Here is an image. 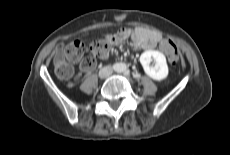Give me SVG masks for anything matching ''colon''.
Returning <instances> with one entry per match:
<instances>
[{"mask_svg":"<svg viewBox=\"0 0 230 155\" xmlns=\"http://www.w3.org/2000/svg\"><path fill=\"white\" fill-rule=\"evenodd\" d=\"M157 48L167 55L172 64H176L179 60V52L175 44L170 39H159ZM85 45L81 41H72L64 45L61 50L56 51L53 57V65L55 74L63 80H70L73 75V69L68 62H77L81 60L85 54ZM109 44L106 41H96L90 46V57L82 60V67L85 69L92 68L95 64L94 57H100L107 53Z\"/></svg>","mask_w":230,"mask_h":155,"instance_id":"obj_1","label":"colon"}]
</instances>
